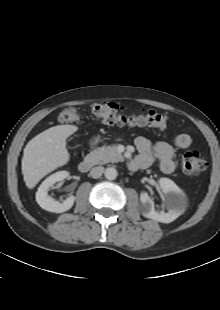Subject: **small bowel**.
I'll return each mask as SVG.
<instances>
[{"instance_id":"small-bowel-1","label":"small bowel","mask_w":220,"mask_h":310,"mask_svg":"<svg viewBox=\"0 0 220 310\" xmlns=\"http://www.w3.org/2000/svg\"><path fill=\"white\" fill-rule=\"evenodd\" d=\"M191 142V137L185 133L176 135L172 143H152L146 137L140 136L135 140L139 155L133 160L130 168L132 170L147 168L157 161L161 171L170 174L175 169L173 160L175 149H186L191 145Z\"/></svg>"}]
</instances>
